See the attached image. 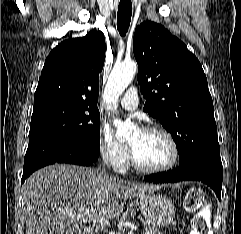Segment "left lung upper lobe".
Returning a JSON list of instances; mask_svg holds the SVG:
<instances>
[{
    "instance_id": "obj_1",
    "label": "left lung upper lobe",
    "mask_w": 241,
    "mask_h": 234,
    "mask_svg": "<svg viewBox=\"0 0 241 234\" xmlns=\"http://www.w3.org/2000/svg\"><path fill=\"white\" fill-rule=\"evenodd\" d=\"M133 52L143 110L171 133L180 166L200 158L221 161L212 97L195 55L152 21L136 27Z\"/></svg>"
}]
</instances>
